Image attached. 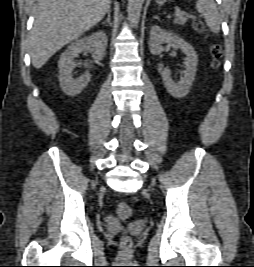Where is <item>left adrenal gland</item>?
I'll return each instance as SVG.
<instances>
[{
    "mask_svg": "<svg viewBox=\"0 0 254 267\" xmlns=\"http://www.w3.org/2000/svg\"><path fill=\"white\" fill-rule=\"evenodd\" d=\"M153 18L159 20V17L158 16H154Z\"/></svg>",
    "mask_w": 254,
    "mask_h": 267,
    "instance_id": "obj_1",
    "label": "left adrenal gland"
}]
</instances>
